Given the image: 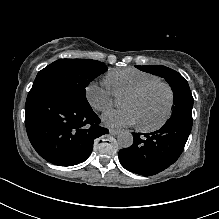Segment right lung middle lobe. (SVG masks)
<instances>
[{
  "instance_id": "dd1d6c3e",
  "label": "right lung middle lobe",
  "mask_w": 219,
  "mask_h": 219,
  "mask_svg": "<svg viewBox=\"0 0 219 219\" xmlns=\"http://www.w3.org/2000/svg\"><path fill=\"white\" fill-rule=\"evenodd\" d=\"M107 71L104 63L88 59H59L36 76L31 90L47 89L66 94L82 105L89 106L86 87Z\"/></svg>"
}]
</instances>
